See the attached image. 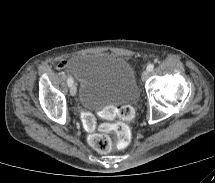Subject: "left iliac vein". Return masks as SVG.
Wrapping results in <instances>:
<instances>
[{
  "label": "left iliac vein",
  "instance_id": "left-iliac-vein-1",
  "mask_svg": "<svg viewBox=\"0 0 215 183\" xmlns=\"http://www.w3.org/2000/svg\"><path fill=\"white\" fill-rule=\"evenodd\" d=\"M148 77H149V71H148V70H145V71L142 73V80H143V81H146Z\"/></svg>",
  "mask_w": 215,
  "mask_h": 183
}]
</instances>
